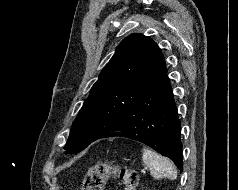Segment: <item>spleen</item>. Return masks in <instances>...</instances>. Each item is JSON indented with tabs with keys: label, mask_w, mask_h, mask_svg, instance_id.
<instances>
[{
	"label": "spleen",
	"mask_w": 238,
	"mask_h": 190,
	"mask_svg": "<svg viewBox=\"0 0 238 190\" xmlns=\"http://www.w3.org/2000/svg\"><path fill=\"white\" fill-rule=\"evenodd\" d=\"M142 159L144 164L150 169L151 175L154 178L160 179L167 177L172 180L177 178V170L174 164L155 151L144 148Z\"/></svg>",
	"instance_id": "1"
}]
</instances>
